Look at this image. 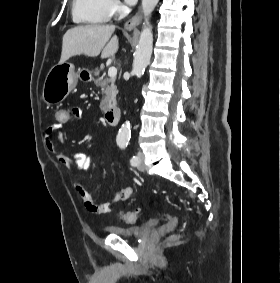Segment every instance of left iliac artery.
<instances>
[{
	"instance_id": "1",
	"label": "left iliac artery",
	"mask_w": 280,
	"mask_h": 283,
	"mask_svg": "<svg viewBox=\"0 0 280 283\" xmlns=\"http://www.w3.org/2000/svg\"><path fill=\"white\" fill-rule=\"evenodd\" d=\"M120 147L122 149H125L127 147V143L120 144ZM138 161L139 159L137 156H133L130 160L132 166H136L138 164Z\"/></svg>"
}]
</instances>
